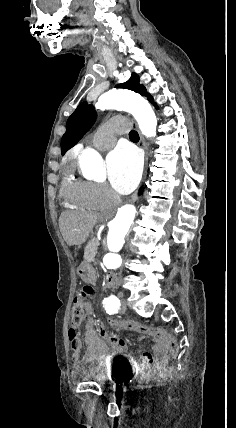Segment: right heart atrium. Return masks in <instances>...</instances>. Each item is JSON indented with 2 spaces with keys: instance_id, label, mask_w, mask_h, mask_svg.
Listing matches in <instances>:
<instances>
[{
  "instance_id": "right-heart-atrium-1",
  "label": "right heart atrium",
  "mask_w": 236,
  "mask_h": 428,
  "mask_svg": "<svg viewBox=\"0 0 236 428\" xmlns=\"http://www.w3.org/2000/svg\"><path fill=\"white\" fill-rule=\"evenodd\" d=\"M91 187L95 196L103 203L115 198V194L104 184H92Z\"/></svg>"
}]
</instances>
